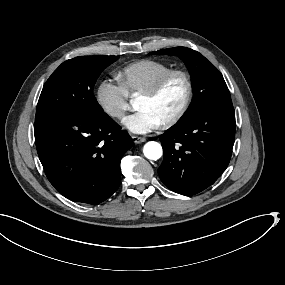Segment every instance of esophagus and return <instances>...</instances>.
Wrapping results in <instances>:
<instances>
[{
    "label": "esophagus",
    "mask_w": 285,
    "mask_h": 285,
    "mask_svg": "<svg viewBox=\"0 0 285 285\" xmlns=\"http://www.w3.org/2000/svg\"><path fill=\"white\" fill-rule=\"evenodd\" d=\"M131 138L134 143H142L146 140V138L139 136H132Z\"/></svg>",
    "instance_id": "esophagus-1"
}]
</instances>
